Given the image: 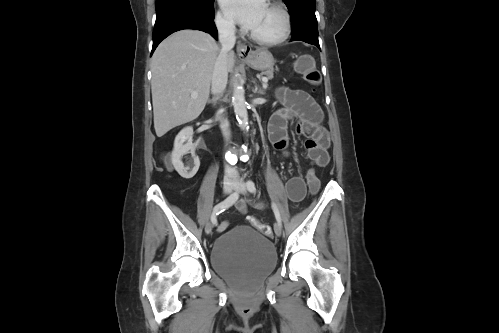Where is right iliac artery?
Wrapping results in <instances>:
<instances>
[{"mask_svg": "<svg viewBox=\"0 0 499 333\" xmlns=\"http://www.w3.org/2000/svg\"><path fill=\"white\" fill-rule=\"evenodd\" d=\"M239 198V194L235 191L229 197H227L224 201L220 202L213 208V212L211 214V222H216V217L230 206H232Z\"/></svg>", "mask_w": 499, "mask_h": 333, "instance_id": "82829eb1", "label": "right iliac artery"}]
</instances>
